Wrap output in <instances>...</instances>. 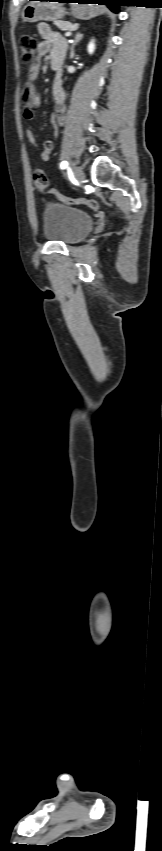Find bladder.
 Here are the masks:
<instances>
[{"label":"bladder","mask_w":162,"mask_h":851,"mask_svg":"<svg viewBox=\"0 0 162 851\" xmlns=\"http://www.w3.org/2000/svg\"><path fill=\"white\" fill-rule=\"evenodd\" d=\"M93 227V218L85 211L58 202H48L43 210V235L50 241L74 244Z\"/></svg>","instance_id":"bladder-1"}]
</instances>
